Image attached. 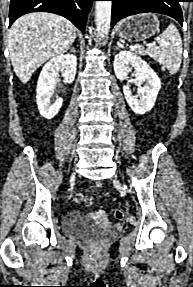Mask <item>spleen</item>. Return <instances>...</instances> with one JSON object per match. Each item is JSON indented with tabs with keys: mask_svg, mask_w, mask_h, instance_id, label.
<instances>
[{
	"mask_svg": "<svg viewBox=\"0 0 193 287\" xmlns=\"http://www.w3.org/2000/svg\"><path fill=\"white\" fill-rule=\"evenodd\" d=\"M159 46L151 45L146 53L164 65L170 74H176L182 61V40L174 24H170L162 34L156 37Z\"/></svg>",
	"mask_w": 193,
	"mask_h": 287,
	"instance_id": "3e777b00",
	"label": "spleen"
}]
</instances>
